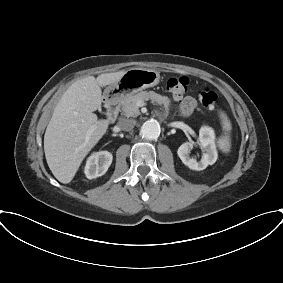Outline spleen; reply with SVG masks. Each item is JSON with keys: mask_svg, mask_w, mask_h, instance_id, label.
Masks as SVG:
<instances>
[{"mask_svg": "<svg viewBox=\"0 0 283 283\" xmlns=\"http://www.w3.org/2000/svg\"><path fill=\"white\" fill-rule=\"evenodd\" d=\"M220 119H221V125L222 129L224 131V135H222L217 143L219 149L224 152L228 153L231 149V139H230V131L232 129L231 122L228 119L227 115L224 112H220Z\"/></svg>", "mask_w": 283, "mask_h": 283, "instance_id": "1", "label": "spleen"}]
</instances>
